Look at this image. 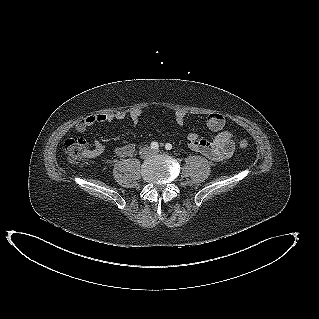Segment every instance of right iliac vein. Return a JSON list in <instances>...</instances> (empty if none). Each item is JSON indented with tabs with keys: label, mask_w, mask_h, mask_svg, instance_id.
<instances>
[{
	"label": "right iliac vein",
	"mask_w": 319,
	"mask_h": 319,
	"mask_svg": "<svg viewBox=\"0 0 319 319\" xmlns=\"http://www.w3.org/2000/svg\"><path fill=\"white\" fill-rule=\"evenodd\" d=\"M149 153H150V150H149L148 148H145V149L143 150V155H144V156H148Z\"/></svg>",
	"instance_id": "right-iliac-vein-1"
}]
</instances>
